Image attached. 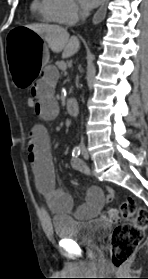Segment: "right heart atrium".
Returning <instances> with one entry per match:
<instances>
[{"mask_svg":"<svg viewBox=\"0 0 148 279\" xmlns=\"http://www.w3.org/2000/svg\"><path fill=\"white\" fill-rule=\"evenodd\" d=\"M55 8L62 23L72 24L77 21L82 13L75 0H54Z\"/></svg>","mask_w":148,"mask_h":279,"instance_id":"obj_1","label":"right heart atrium"}]
</instances>
